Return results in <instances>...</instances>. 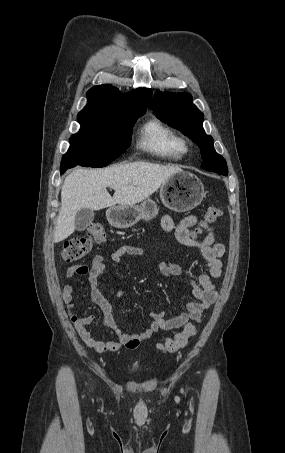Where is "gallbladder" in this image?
Masks as SVG:
<instances>
[{"label":"gallbladder","mask_w":285,"mask_h":453,"mask_svg":"<svg viewBox=\"0 0 285 453\" xmlns=\"http://www.w3.org/2000/svg\"><path fill=\"white\" fill-rule=\"evenodd\" d=\"M94 219V211L88 208H83L77 212L75 216V229L84 231Z\"/></svg>","instance_id":"1"}]
</instances>
